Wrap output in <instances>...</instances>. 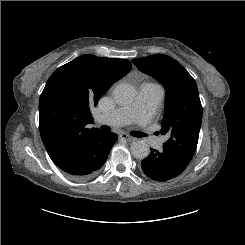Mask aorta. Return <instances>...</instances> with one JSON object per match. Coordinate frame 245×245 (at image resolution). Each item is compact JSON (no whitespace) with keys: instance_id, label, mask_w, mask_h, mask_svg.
Segmentation results:
<instances>
[{"instance_id":"obj_1","label":"aorta","mask_w":245,"mask_h":245,"mask_svg":"<svg viewBox=\"0 0 245 245\" xmlns=\"http://www.w3.org/2000/svg\"><path fill=\"white\" fill-rule=\"evenodd\" d=\"M113 95L117 103L126 105L135 99L136 90L129 84L121 83L115 86ZM131 153L136 159H144L150 154V148L145 141L137 140L131 144Z\"/></svg>"}]
</instances>
